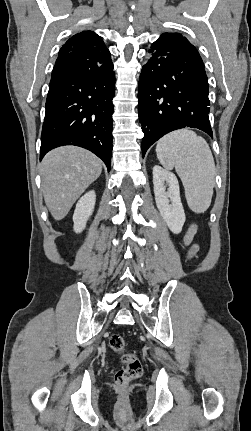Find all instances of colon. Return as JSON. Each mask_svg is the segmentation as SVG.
<instances>
[{"mask_svg":"<svg viewBox=\"0 0 251 431\" xmlns=\"http://www.w3.org/2000/svg\"><path fill=\"white\" fill-rule=\"evenodd\" d=\"M109 344L111 349L118 354H122L125 350V340L118 334L111 336ZM122 363L124 366L116 371L114 380L119 388L124 389L132 380L142 375L143 365L134 354H123Z\"/></svg>","mask_w":251,"mask_h":431,"instance_id":"obj_1","label":"colon"}]
</instances>
